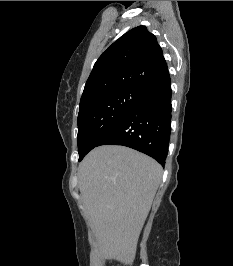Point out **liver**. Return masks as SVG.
Instances as JSON below:
<instances>
[{"label": "liver", "instance_id": "6515ba94", "mask_svg": "<svg viewBox=\"0 0 233 266\" xmlns=\"http://www.w3.org/2000/svg\"><path fill=\"white\" fill-rule=\"evenodd\" d=\"M162 167L124 146H101L78 168L81 197L102 259L133 260Z\"/></svg>", "mask_w": 233, "mask_h": 266}]
</instances>
